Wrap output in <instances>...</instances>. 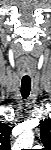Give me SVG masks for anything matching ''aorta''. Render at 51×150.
<instances>
[{
  "label": "aorta",
  "mask_w": 51,
  "mask_h": 150,
  "mask_svg": "<svg viewBox=\"0 0 51 150\" xmlns=\"http://www.w3.org/2000/svg\"><path fill=\"white\" fill-rule=\"evenodd\" d=\"M34 141V133L27 131L21 134L13 145V150L29 149L32 147Z\"/></svg>",
  "instance_id": "aorta-1"
}]
</instances>
